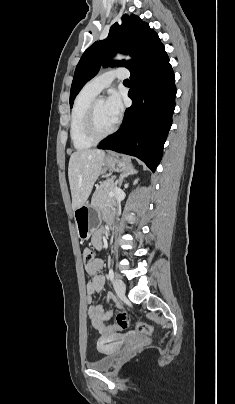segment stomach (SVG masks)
Segmentation results:
<instances>
[{
  "label": "stomach",
  "instance_id": "obj_1",
  "mask_svg": "<svg viewBox=\"0 0 235 404\" xmlns=\"http://www.w3.org/2000/svg\"><path fill=\"white\" fill-rule=\"evenodd\" d=\"M131 168L127 157L111 154L105 157L103 170L124 172ZM77 236L87 240L101 223V212L97 206L85 203L73 212Z\"/></svg>",
  "mask_w": 235,
  "mask_h": 404
}]
</instances>
